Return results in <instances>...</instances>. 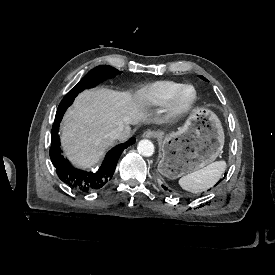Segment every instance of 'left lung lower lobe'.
<instances>
[{
    "mask_svg": "<svg viewBox=\"0 0 275 275\" xmlns=\"http://www.w3.org/2000/svg\"><path fill=\"white\" fill-rule=\"evenodd\" d=\"M225 176H226V174H225ZM225 176H224V177H225ZM224 177H223V178H224ZM221 181H222V179H220L219 182H218L217 184H219ZM217 184H216V185H217ZM162 187H163L164 190H167V189H168V188H167L166 186H164V185H162Z\"/></svg>",
    "mask_w": 275,
    "mask_h": 275,
    "instance_id": "obj_1",
    "label": "left lung lower lobe"
}]
</instances>
